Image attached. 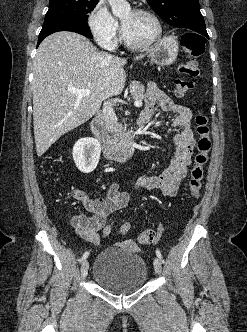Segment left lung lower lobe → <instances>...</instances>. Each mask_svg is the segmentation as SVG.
<instances>
[{"label": "left lung lower lobe", "instance_id": "1", "mask_svg": "<svg viewBox=\"0 0 247 332\" xmlns=\"http://www.w3.org/2000/svg\"><path fill=\"white\" fill-rule=\"evenodd\" d=\"M201 33L200 34H202L203 36H205V37H207V38H209V36H208V34H207V31H206V29H203L202 31H200Z\"/></svg>", "mask_w": 247, "mask_h": 332}]
</instances>
